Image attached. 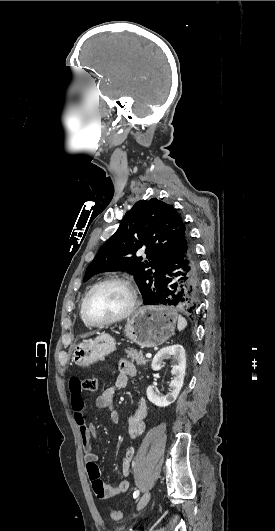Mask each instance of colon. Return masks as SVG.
Wrapping results in <instances>:
<instances>
[{
	"mask_svg": "<svg viewBox=\"0 0 275 531\" xmlns=\"http://www.w3.org/2000/svg\"><path fill=\"white\" fill-rule=\"evenodd\" d=\"M82 389L84 392H90L95 393L99 389V384L96 377H87L85 378V381L82 384ZM122 517L121 511H114L112 513V521L114 523H117L119 521V518Z\"/></svg>",
	"mask_w": 275,
	"mask_h": 531,
	"instance_id": "obj_1",
	"label": "colon"
}]
</instances>
